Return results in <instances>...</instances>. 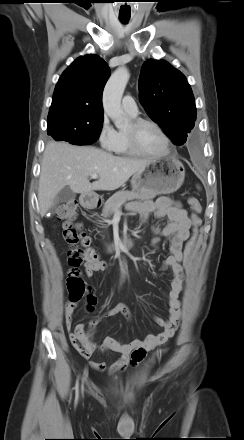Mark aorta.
I'll return each mask as SVG.
<instances>
[{"label":"aorta","instance_id":"aorta-1","mask_svg":"<svg viewBox=\"0 0 244 440\" xmlns=\"http://www.w3.org/2000/svg\"><path fill=\"white\" fill-rule=\"evenodd\" d=\"M129 76L125 67H119L109 78L103 92L104 111L119 129L124 127L126 120L121 107V99Z\"/></svg>","mask_w":244,"mask_h":440}]
</instances>
